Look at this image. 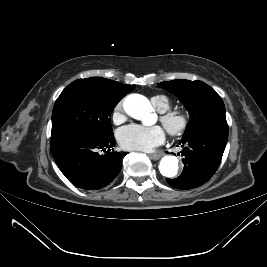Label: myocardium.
Segmentation results:
<instances>
[{"mask_svg":"<svg viewBox=\"0 0 267 267\" xmlns=\"http://www.w3.org/2000/svg\"><path fill=\"white\" fill-rule=\"evenodd\" d=\"M161 122L168 134L173 137L183 135L189 128V117L181 110L166 111L161 116Z\"/></svg>","mask_w":267,"mask_h":267,"instance_id":"myocardium-1","label":"myocardium"}]
</instances>
